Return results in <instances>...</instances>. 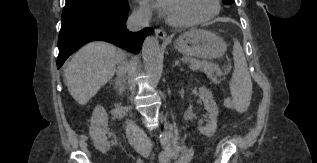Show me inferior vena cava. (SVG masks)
Listing matches in <instances>:
<instances>
[{
  "instance_id": "obj_1",
  "label": "inferior vena cava",
  "mask_w": 317,
  "mask_h": 163,
  "mask_svg": "<svg viewBox=\"0 0 317 163\" xmlns=\"http://www.w3.org/2000/svg\"><path fill=\"white\" fill-rule=\"evenodd\" d=\"M151 15L147 11H134L127 20V28L132 32L140 31L149 25ZM127 65L125 57L120 56L117 67L118 79L125 82ZM122 91V87L120 92ZM126 135L129 143L142 156H148L152 149V143L147 135L131 121L126 122Z\"/></svg>"
}]
</instances>
